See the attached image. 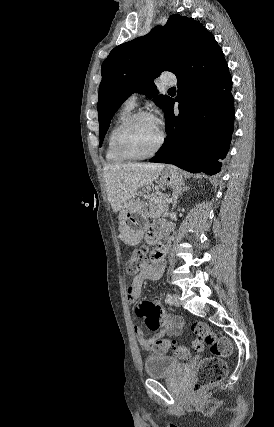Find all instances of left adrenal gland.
Listing matches in <instances>:
<instances>
[{
    "instance_id": "left-adrenal-gland-1",
    "label": "left adrenal gland",
    "mask_w": 274,
    "mask_h": 427,
    "mask_svg": "<svg viewBox=\"0 0 274 427\" xmlns=\"http://www.w3.org/2000/svg\"><path fill=\"white\" fill-rule=\"evenodd\" d=\"M186 190H188V188H175V190H173V204H172V212L174 210V208H176V204H177V200L180 196V194H182V192H186Z\"/></svg>"
}]
</instances>
